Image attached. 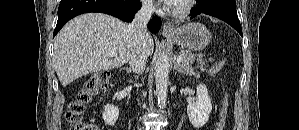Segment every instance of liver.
Masks as SVG:
<instances>
[{
  "label": "liver",
  "mask_w": 299,
  "mask_h": 130,
  "mask_svg": "<svg viewBox=\"0 0 299 130\" xmlns=\"http://www.w3.org/2000/svg\"><path fill=\"white\" fill-rule=\"evenodd\" d=\"M127 24L102 13H87L69 21L54 40V68L63 87L93 72L112 70L128 61L132 39ZM147 56L154 50L145 35ZM114 52L115 56L108 53Z\"/></svg>",
  "instance_id": "1"
}]
</instances>
